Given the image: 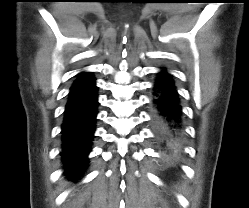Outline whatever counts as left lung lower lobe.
Returning a JSON list of instances; mask_svg holds the SVG:
<instances>
[{
  "instance_id": "0a47b994",
  "label": "left lung lower lobe",
  "mask_w": 249,
  "mask_h": 208,
  "mask_svg": "<svg viewBox=\"0 0 249 208\" xmlns=\"http://www.w3.org/2000/svg\"><path fill=\"white\" fill-rule=\"evenodd\" d=\"M155 135L166 155L174 160L182 149V107L171 75L159 73L152 100Z\"/></svg>"
}]
</instances>
